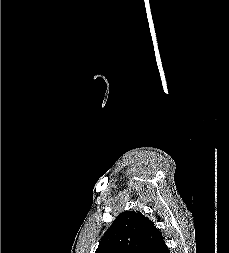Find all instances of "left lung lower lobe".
Returning <instances> with one entry per match:
<instances>
[{"mask_svg":"<svg viewBox=\"0 0 229 253\" xmlns=\"http://www.w3.org/2000/svg\"><path fill=\"white\" fill-rule=\"evenodd\" d=\"M155 253H170L165 241H163L158 248L156 249Z\"/></svg>","mask_w":229,"mask_h":253,"instance_id":"0a47b994","label":"left lung lower lobe"}]
</instances>
